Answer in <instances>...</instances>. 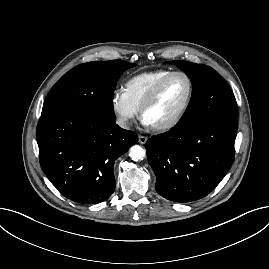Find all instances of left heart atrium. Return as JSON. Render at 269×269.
Segmentation results:
<instances>
[{
    "mask_svg": "<svg viewBox=\"0 0 269 269\" xmlns=\"http://www.w3.org/2000/svg\"><path fill=\"white\" fill-rule=\"evenodd\" d=\"M143 124L146 126H150V123L148 121H146L145 119H143Z\"/></svg>",
    "mask_w": 269,
    "mask_h": 269,
    "instance_id": "left-heart-atrium-1",
    "label": "left heart atrium"
}]
</instances>
